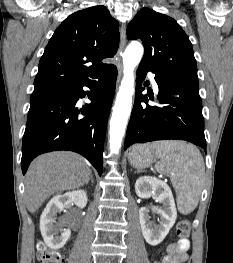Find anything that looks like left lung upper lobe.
Returning a JSON list of instances; mask_svg holds the SVG:
<instances>
[{
  "label": "left lung upper lobe",
  "instance_id": "left-lung-upper-lobe-1",
  "mask_svg": "<svg viewBox=\"0 0 233 263\" xmlns=\"http://www.w3.org/2000/svg\"><path fill=\"white\" fill-rule=\"evenodd\" d=\"M127 36L143 41L145 53L140 65L163 76L198 82L192 44L171 17L143 8L129 23Z\"/></svg>",
  "mask_w": 233,
  "mask_h": 263
}]
</instances>
